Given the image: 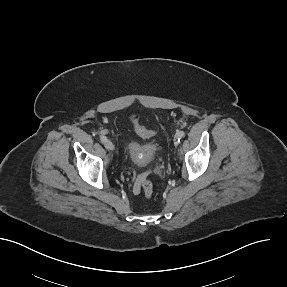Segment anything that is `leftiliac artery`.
Returning a JSON list of instances; mask_svg holds the SVG:
<instances>
[{
    "mask_svg": "<svg viewBox=\"0 0 287 287\" xmlns=\"http://www.w3.org/2000/svg\"><path fill=\"white\" fill-rule=\"evenodd\" d=\"M176 135H177L178 142H180V139H182L184 137L185 132L184 131H178L176 133Z\"/></svg>",
    "mask_w": 287,
    "mask_h": 287,
    "instance_id": "obj_1",
    "label": "left iliac artery"
}]
</instances>
